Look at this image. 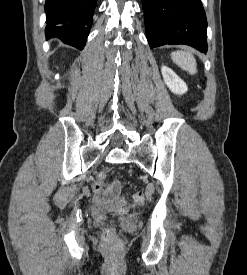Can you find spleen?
Returning <instances> with one entry per match:
<instances>
[{
    "instance_id": "1",
    "label": "spleen",
    "mask_w": 247,
    "mask_h": 275,
    "mask_svg": "<svg viewBox=\"0 0 247 275\" xmlns=\"http://www.w3.org/2000/svg\"><path fill=\"white\" fill-rule=\"evenodd\" d=\"M171 58L174 63L190 74L194 75L197 72L196 59L192 53L182 50L175 51L171 54Z\"/></svg>"
}]
</instances>
